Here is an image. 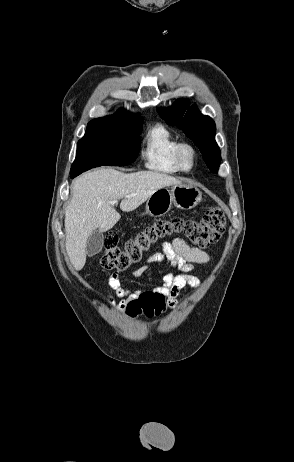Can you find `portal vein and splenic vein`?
Here are the masks:
<instances>
[{
  "instance_id": "1",
  "label": "portal vein and splenic vein",
  "mask_w": 294,
  "mask_h": 462,
  "mask_svg": "<svg viewBox=\"0 0 294 462\" xmlns=\"http://www.w3.org/2000/svg\"><path fill=\"white\" fill-rule=\"evenodd\" d=\"M133 195H127L126 198H131ZM117 203V200L113 201V204Z\"/></svg>"
}]
</instances>
